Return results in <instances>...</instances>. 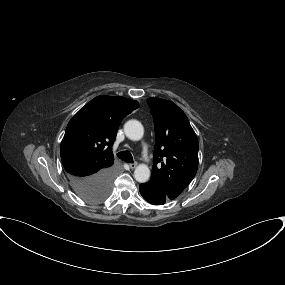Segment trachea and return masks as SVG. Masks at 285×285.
Wrapping results in <instances>:
<instances>
[{
	"mask_svg": "<svg viewBox=\"0 0 285 285\" xmlns=\"http://www.w3.org/2000/svg\"><path fill=\"white\" fill-rule=\"evenodd\" d=\"M117 156L125 162L133 163V157L129 151H121L117 153Z\"/></svg>",
	"mask_w": 285,
	"mask_h": 285,
	"instance_id": "3493384b",
	"label": "trachea"
}]
</instances>
